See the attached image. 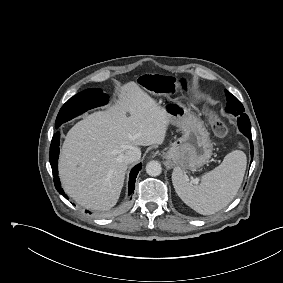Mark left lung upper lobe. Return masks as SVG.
<instances>
[{"mask_svg":"<svg viewBox=\"0 0 283 283\" xmlns=\"http://www.w3.org/2000/svg\"><path fill=\"white\" fill-rule=\"evenodd\" d=\"M225 93L227 97L226 111L236 116L244 114V107L241 102L229 91L225 90Z\"/></svg>","mask_w":283,"mask_h":283,"instance_id":"1","label":"left lung upper lobe"}]
</instances>
